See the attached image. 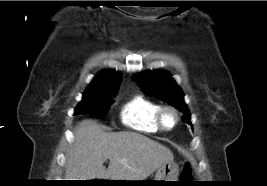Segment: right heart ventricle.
Returning a JSON list of instances; mask_svg holds the SVG:
<instances>
[{"instance_id": "obj_1", "label": "right heart ventricle", "mask_w": 267, "mask_h": 186, "mask_svg": "<svg viewBox=\"0 0 267 186\" xmlns=\"http://www.w3.org/2000/svg\"><path fill=\"white\" fill-rule=\"evenodd\" d=\"M160 104L137 95L127 101L120 113L122 123L139 132L157 133L160 131L156 123V114Z\"/></svg>"}]
</instances>
